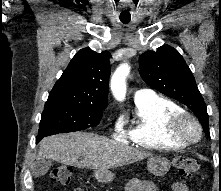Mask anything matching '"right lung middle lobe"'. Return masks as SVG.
I'll return each instance as SVG.
<instances>
[{"instance_id":"1","label":"right lung middle lobe","mask_w":221,"mask_h":191,"mask_svg":"<svg viewBox=\"0 0 221 191\" xmlns=\"http://www.w3.org/2000/svg\"><path fill=\"white\" fill-rule=\"evenodd\" d=\"M103 109L91 105L57 104L44 107L37 139L44 136L73 132L97 126Z\"/></svg>"}]
</instances>
